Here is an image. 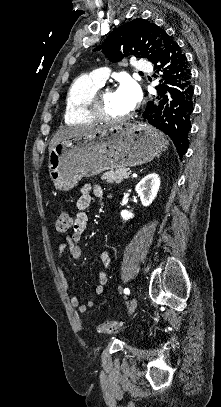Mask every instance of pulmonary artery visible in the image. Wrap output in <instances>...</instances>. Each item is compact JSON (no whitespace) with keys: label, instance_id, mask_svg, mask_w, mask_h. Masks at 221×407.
<instances>
[{"label":"pulmonary artery","instance_id":"obj_1","mask_svg":"<svg viewBox=\"0 0 221 407\" xmlns=\"http://www.w3.org/2000/svg\"><path fill=\"white\" fill-rule=\"evenodd\" d=\"M137 73H145L150 70V65L142 60H138L134 64ZM99 84L103 85L108 78V71L104 68H97L89 73Z\"/></svg>","mask_w":221,"mask_h":407}]
</instances>
